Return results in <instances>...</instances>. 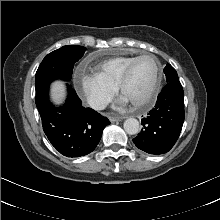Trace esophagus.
I'll return each mask as SVG.
<instances>
[{
  "mask_svg": "<svg viewBox=\"0 0 220 220\" xmlns=\"http://www.w3.org/2000/svg\"><path fill=\"white\" fill-rule=\"evenodd\" d=\"M125 117H109V120L111 122H116V121H121L123 120Z\"/></svg>",
  "mask_w": 220,
  "mask_h": 220,
  "instance_id": "obj_1",
  "label": "esophagus"
}]
</instances>
